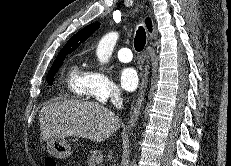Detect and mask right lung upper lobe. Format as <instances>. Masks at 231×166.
Here are the masks:
<instances>
[{
  "label": "right lung upper lobe",
  "mask_w": 231,
  "mask_h": 166,
  "mask_svg": "<svg viewBox=\"0 0 231 166\" xmlns=\"http://www.w3.org/2000/svg\"><path fill=\"white\" fill-rule=\"evenodd\" d=\"M145 21L149 31L151 32L152 23L150 18H146ZM99 27H100V23H92L81 29L79 32H77L68 40V42L65 44V46L59 52L58 55L72 53L80 45V43H83L86 39H88L93 34V32H95Z\"/></svg>",
  "instance_id": "right-lung-upper-lobe-1"
}]
</instances>
